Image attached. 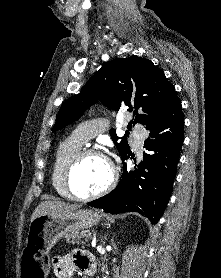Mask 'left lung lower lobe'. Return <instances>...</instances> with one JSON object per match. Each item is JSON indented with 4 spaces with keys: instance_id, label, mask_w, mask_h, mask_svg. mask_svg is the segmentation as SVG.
I'll return each instance as SVG.
<instances>
[{
    "instance_id": "0a47b994",
    "label": "left lung lower lobe",
    "mask_w": 221,
    "mask_h": 278,
    "mask_svg": "<svg viewBox=\"0 0 221 278\" xmlns=\"http://www.w3.org/2000/svg\"><path fill=\"white\" fill-rule=\"evenodd\" d=\"M149 137L146 152L133 170H127L121 157L123 173L117 187L109 194L87 203L108 213L138 212L156 224L171 195L177 163L184 141V117L180 100L156 122L145 126Z\"/></svg>"
}]
</instances>
